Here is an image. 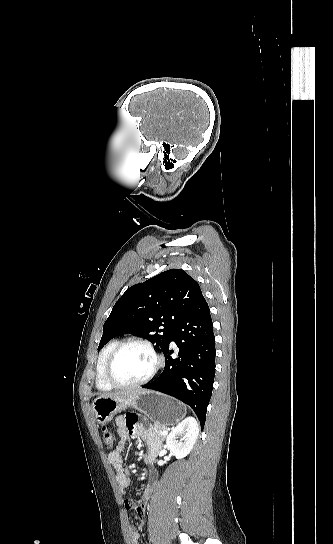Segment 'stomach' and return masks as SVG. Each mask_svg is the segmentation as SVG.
Instances as JSON below:
<instances>
[{"instance_id":"obj_1","label":"stomach","mask_w":333,"mask_h":544,"mask_svg":"<svg viewBox=\"0 0 333 544\" xmlns=\"http://www.w3.org/2000/svg\"><path fill=\"white\" fill-rule=\"evenodd\" d=\"M126 408H135L149 417L154 424L165 428L179 422L186 413L181 402L148 390L124 397H100L92 403L95 419L102 425L109 423L115 414Z\"/></svg>"}]
</instances>
